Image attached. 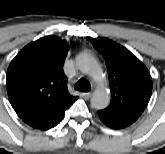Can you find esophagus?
Segmentation results:
<instances>
[{
    "label": "esophagus",
    "mask_w": 165,
    "mask_h": 154,
    "mask_svg": "<svg viewBox=\"0 0 165 154\" xmlns=\"http://www.w3.org/2000/svg\"><path fill=\"white\" fill-rule=\"evenodd\" d=\"M92 95V92L85 93L84 96L85 98L89 99Z\"/></svg>",
    "instance_id": "34e87169"
}]
</instances>
